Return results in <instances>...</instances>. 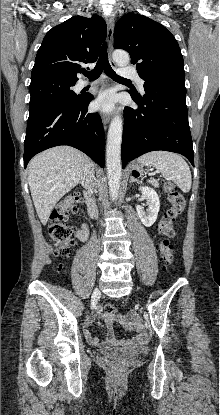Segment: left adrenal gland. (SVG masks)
<instances>
[{"label":"left adrenal gland","mask_w":220,"mask_h":415,"mask_svg":"<svg viewBox=\"0 0 220 415\" xmlns=\"http://www.w3.org/2000/svg\"><path fill=\"white\" fill-rule=\"evenodd\" d=\"M135 181H136V182H139L137 179H135L133 176H131V177H130V183H131V182H135Z\"/></svg>","instance_id":"a2214340"}]
</instances>
